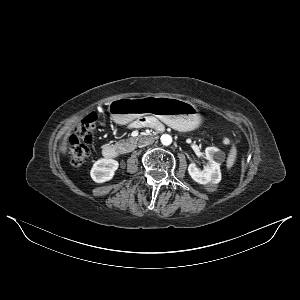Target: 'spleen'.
<instances>
[{"instance_id":"obj_1","label":"spleen","mask_w":300,"mask_h":300,"mask_svg":"<svg viewBox=\"0 0 300 300\" xmlns=\"http://www.w3.org/2000/svg\"><path fill=\"white\" fill-rule=\"evenodd\" d=\"M236 155H237V149L236 146L233 145L227 158V162H226L227 169H230L234 165L236 160Z\"/></svg>"}]
</instances>
